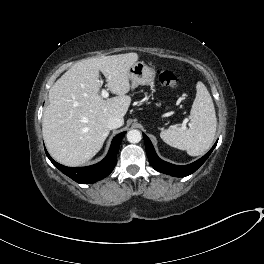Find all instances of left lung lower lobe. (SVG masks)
Segmentation results:
<instances>
[{
  "label": "left lung lower lobe",
  "instance_id": "left-lung-lower-lobe-1",
  "mask_svg": "<svg viewBox=\"0 0 264 264\" xmlns=\"http://www.w3.org/2000/svg\"><path fill=\"white\" fill-rule=\"evenodd\" d=\"M143 138L145 142L147 157L152 167L158 172L165 173L175 177H185L194 173L206 161V159L209 157V155L211 154V152L213 151V149L217 144L216 142L214 146L211 148V150L197 161L189 165L179 166L161 160L157 156L150 139L145 134H143Z\"/></svg>",
  "mask_w": 264,
  "mask_h": 264
}]
</instances>
